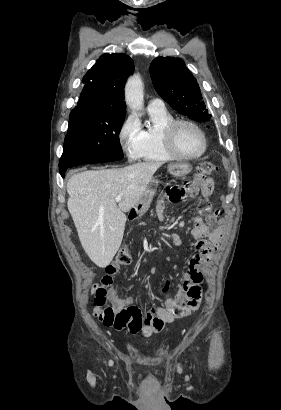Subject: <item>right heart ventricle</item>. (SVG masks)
Instances as JSON below:
<instances>
[{
    "label": "right heart ventricle",
    "instance_id": "right-heart-ventricle-1",
    "mask_svg": "<svg viewBox=\"0 0 281 410\" xmlns=\"http://www.w3.org/2000/svg\"><path fill=\"white\" fill-rule=\"evenodd\" d=\"M149 122L143 128L138 158L150 162H167L177 159L165 146L163 130L174 120L166 109H148Z\"/></svg>",
    "mask_w": 281,
    "mask_h": 410
}]
</instances>
